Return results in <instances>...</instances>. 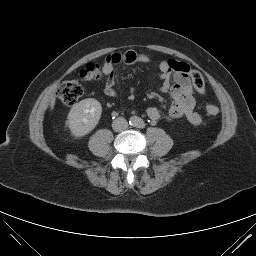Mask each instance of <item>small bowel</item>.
Wrapping results in <instances>:
<instances>
[{"mask_svg": "<svg viewBox=\"0 0 256 256\" xmlns=\"http://www.w3.org/2000/svg\"><path fill=\"white\" fill-rule=\"evenodd\" d=\"M114 63H105L102 69L107 77L104 93L107 97L116 98V70L118 64L148 63L150 56L145 53L127 51L110 55ZM190 67L176 60L161 61L159 64L158 77L162 80L161 90L169 92L173 102L167 113H162L156 107H149L147 115L151 120L174 121L185 117L191 124L199 125L202 117L195 111V90L191 82Z\"/></svg>", "mask_w": 256, "mask_h": 256, "instance_id": "obj_1", "label": "small bowel"}]
</instances>
